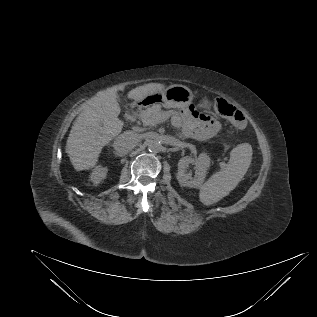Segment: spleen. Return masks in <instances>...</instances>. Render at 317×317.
Wrapping results in <instances>:
<instances>
[{
  "instance_id": "3e777b00",
  "label": "spleen",
  "mask_w": 317,
  "mask_h": 317,
  "mask_svg": "<svg viewBox=\"0 0 317 317\" xmlns=\"http://www.w3.org/2000/svg\"><path fill=\"white\" fill-rule=\"evenodd\" d=\"M252 159V147L248 143L237 145L230 154L225 168L213 174L201 187L200 201L212 205L232 191L246 174Z\"/></svg>"
}]
</instances>
